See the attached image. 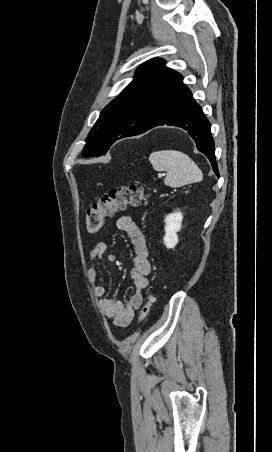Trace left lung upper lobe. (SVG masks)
<instances>
[{
  "label": "left lung upper lobe",
  "instance_id": "1",
  "mask_svg": "<svg viewBox=\"0 0 272 452\" xmlns=\"http://www.w3.org/2000/svg\"><path fill=\"white\" fill-rule=\"evenodd\" d=\"M182 76L161 59L143 63L133 81L101 112L90 131L82 155L101 156L123 137L151 126L169 99L183 85Z\"/></svg>",
  "mask_w": 272,
  "mask_h": 452
}]
</instances>
